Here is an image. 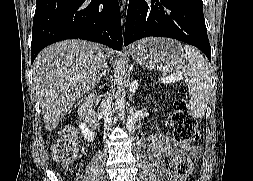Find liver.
I'll use <instances>...</instances> for the list:
<instances>
[{
  "label": "liver",
  "mask_w": 253,
  "mask_h": 181,
  "mask_svg": "<svg viewBox=\"0 0 253 181\" xmlns=\"http://www.w3.org/2000/svg\"><path fill=\"white\" fill-rule=\"evenodd\" d=\"M112 51L84 40H65L43 49L33 64V82L44 125L51 132L77 99L100 81Z\"/></svg>",
  "instance_id": "6515ba94"
}]
</instances>
